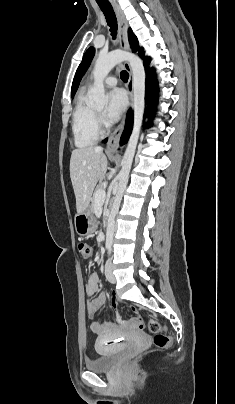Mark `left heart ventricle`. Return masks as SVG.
Returning a JSON list of instances; mask_svg holds the SVG:
<instances>
[{
  "label": "left heart ventricle",
  "instance_id": "obj_1",
  "mask_svg": "<svg viewBox=\"0 0 235 404\" xmlns=\"http://www.w3.org/2000/svg\"><path fill=\"white\" fill-rule=\"evenodd\" d=\"M102 111H103V109H98V112H100V113H101Z\"/></svg>",
  "mask_w": 235,
  "mask_h": 404
}]
</instances>
